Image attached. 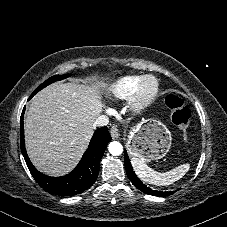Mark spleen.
Wrapping results in <instances>:
<instances>
[{
	"mask_svg": "<svg viewBox=\"0 0 227 227\" xmlns=\"http://www.w3.org/2000/svg\"><path fill=\"white\" fill-rule=\"evenodd\" d=\"M131 164L136 175L148 184L156 186H165L174 183L175 181L181 179L189 170L190 164H182L168 172L160 173L149 166H147L143 161L138 158L133 157L131 159Z\"/></svg>",
	"mask_w": 227,
	"mask_h": 227,
	"instance_id": "1",
	"label": "spleen"
}]
</instances>
